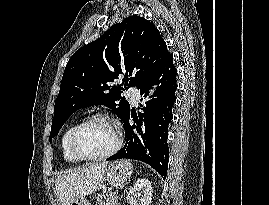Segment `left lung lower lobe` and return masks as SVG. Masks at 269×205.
Returning a JSON list of instances; mask_svg holds the SVG:
<instances>
[{
    "label": "left lung lower lobe",
    "instance_id": "left-lung-lower-lobe-1",
    "mask_svg": "<svg viewBox=\"0 0 269 205\" xmlns=\"http://www.w3.org/2000/svg\"><path fill=\"white\" fill-rule=\"evenodd\" d=\"M177 69L173 64V55L169 54L155 76L142 88L140 94L146 97L151 85H157L152 100L145 106L140 105L143 112L130 110L123 118L125 125V146L107 160L121 158L143 161L154 168L164 179L167 175L169 148L167 144L168 125L172 120V108L176 101ZM143 99V98H142ZM134 124H129V118Z\"/></svg>",
    "mask_w": 269,
    "mask_h": 205
}]
</instances>
